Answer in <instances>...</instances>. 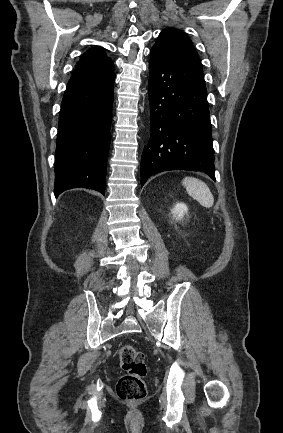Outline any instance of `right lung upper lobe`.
<instances>
[{
    "mask_svg": "<svg viewBox=\"0 0 283 433\" xmlns=\"http://www.w3.org/2000/svg\"><path fill=\"white\" fill-rule=\"evenodd\" d=\"M114 64L102 47L89 49L81 57L67 87L95 83L114 75Z\"/></svg>",
    "mask_w": 283,
    "mask_h": 433,
    "instance_id": "obj_1",
    "label": "right lung upper lobe"
}]
</instances>
